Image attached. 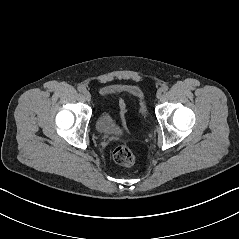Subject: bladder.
Listing matches in <instances>:
<instances>
[{"instance_id":"obj_1","label":"bladder","mask_w":239,"mask_h":239,"mask_svg":"<svg viewBox=\"0 0 239 239\" xmlns=\"http://www.w3.org/2000/svg\"><path fill=\"white\" fill-rule=\"evenodd\" d=\"M113 87H106L103 89V94L110 93L114 90ZM125 90L135 100L139 115L144 122L148 121L149 114L146 105L144 92L137 86H128ZM95 129L99 134L110 135L119 132V128L114 120L113 115L108 110L101 111L95 119Z\"/></svg>"}]
</instances>
